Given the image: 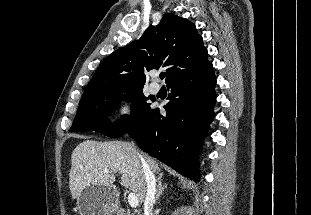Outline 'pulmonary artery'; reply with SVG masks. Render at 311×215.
<instances>
[{
    "label": "pulmonary artery",
    "mask_w": 311,
    "mask_h": 215,
    "mask_svg": "<svg viewBox=\"0 0 311 215\" xmlns=\"http://www.w3.org/2000/svg\"><path fill=\"white\" fill-rule=\"evenodd\" d=\"M159 90H160V87H159L157 84L152 83V84L150 85V91H151V93L157 94V93L159 92Z\"/></svg>",
    "instance_id": "pulmonary-artery-1"
}]
</instances>
